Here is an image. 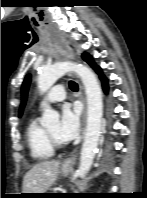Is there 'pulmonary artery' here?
<instances>
[{
  "instance_id": "pulmonary-artery-1",
  "label": "pulmonary artery",
  "mask_w": 147,
  "mask_h": 198,
  "mask_svg": "<svg viewBox=\"0 0 147 198\" xmlns=\"http://www.w3.org/2000/svg\"><path fill=\"white\" fill-rule=\"evenodd\" d=\"M66 92L63 85H56L48 92L45 99L41 102V106L46 103L61 102L65 99Z\"/></svg>"
}]
</instances>
